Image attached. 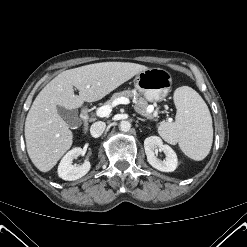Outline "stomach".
Returning a JSON list of instances; mask_svg holds the SVG:
<instances>
[{
	"label": "stomach",
	"instance_id": "1",
	"mask_svg": "<svg viewBox=\"0 0 247 247\" xmlns=\"http://www.w3.org/2000/svg\"><path fill=\"white\" fill-rule=\"evenodd\" d=\"M134 86L148 101L160 102L172 87V77L165 69L150 68L137 74Z\"/></svg>",
	"mask_w": 247,
	"mask_h": 247
}]
</instances>
